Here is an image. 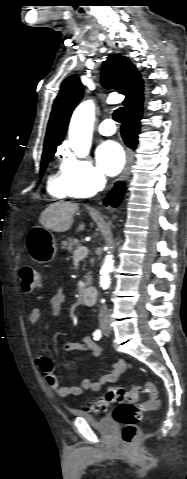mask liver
<instances>
[{"label":"liver","mask_w":187,"mask_h":479,"mask_svg":"<svg viewBox=\"0 0 187 479\" xmlns=\"http://www.w3.org/2000/svg\"><path fill=\"white\" fill-rule=\"evenodd\" d=\"M78 210V204L71 202H55L50 204L40 215L39 222L44 228L55 232H66L73 224V215ZM82 223L77 232L83 230Z\"/></svg>","instance_id":"liver-1"}]
</instances>
